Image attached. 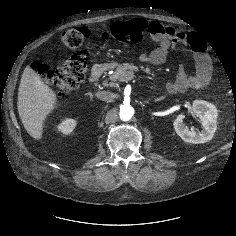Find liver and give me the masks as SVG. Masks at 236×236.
I'll return each instance as SVG.
<instances>
[{
	"instance_id": "obj_1",
	"label": "liver",
	"mask_w": 236,
	"mask_h": 236,
	"mask_svg": "<svg viewBox=\"0 0 236 236\" xmlns=\"http://www.w3.org/2000/svg\"><path fill=\"white\" fill-rule=\"evenodd\" d=\"M58 105L57 95L28 65L18 90V112L27 133L35 140L42 139L44 121Z\"/></svg>"
}]
</instances>
